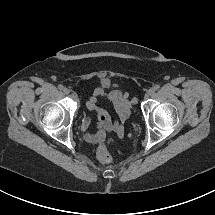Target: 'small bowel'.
<instances>
[{
	"label": "small bowel",
	"mask_w": 215,
	"mask_h": 215,
	"mask_svg": "<svg viewBox=\"0 0 215 215\" xmlns=\"http://www.w3.org/2000/svg\"><path fill=\"white\" fill-rule=\"evenodd\" d=\"M100 99L112 102L119 114L120 123L116 127V133L118 136L123 134L124 124L127 121L130 109L135 102L134 100L128 99L127 93L117 88L110 91H107L103 87L97 88L93 96L86 103L87 108L93 111L97 116L96 128L93 131H90L93 124V120L91 118H86L81 124V130L85 133V140L90 144H98L105 139L104 128L108 123L109 115L106 109L99 105Z\"/></svg>",
	"instance_id": "small-bowel-1"
}]
</instances>
